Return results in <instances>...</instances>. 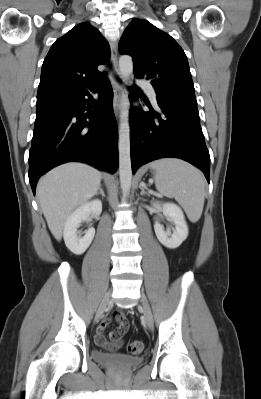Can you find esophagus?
I'll list each match as a JSON object with an SVG mask.
<instances>
[{"label": "esophagus", "mask_w": 261, "mask_h": 399, "mask_svg": "<svg viewBox=\"0 0 261 399\" xmlns=\"http://www.w3.org/2000/svg\"><path fill=\"white\" fill-rule=\"evenodd\" d=\"M111 47V62H112V74L110 75V81L114 89V111L117 116H119L120 109L122 106V86L120 82V72L118 67V48H117V41L111 40L110 41Z\"/></svg>", "instance_id": "1"}]
</instances>
